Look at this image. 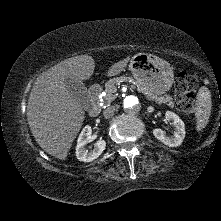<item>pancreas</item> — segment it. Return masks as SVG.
Segmentation results:
<instances>
[{"mask_svg":"<svg viewBox=\"0 0 221 221\" xmlns=\"http://www.w3.org/2000/svg\"><path fill=\"white\" fill-rule=\"evenodd\" d=\"M121 82L132 83L133 87H137V90L139 92L143 93L144 95H146L148 100H150V101H155L159 104L163 103V104H166L170 107H174V105H175L173 98L171 96H169V95L157 96V95L149 92L143 86L139 85L133 78L125 77V76L117 77V78L111 79L106 82V84H105L106 95H105L104 99L107 104H110L113 100H115V98H116L115 93L117 91L116 85H119Z\"/></svg>","mask_w":221,"mask_h":221,"instance_id":"obj_1","label":"pancreas"}]
</instances>
